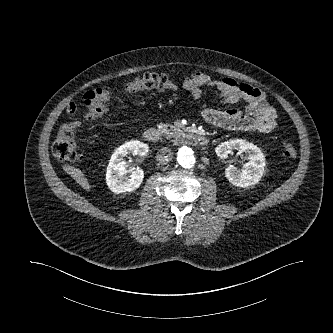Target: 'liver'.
<instances>
[{
	"label": "liver",
	"instance_id": "obj_1",
	"mask_svg": "<svg viewBox=\"0 0 333 333\" xmlns=\"http://www.w3.org/2000/svg\"><path fill=\"white\" fill-rule=\"evenodd\" d=\"M70 174L82 188L90 191V184L84 174L81 172V170L72 168L70 169Z\"/></svg>",
	"mask_w": 333,
	"mask_h": 333
}]
</instances>
